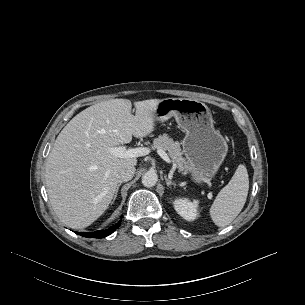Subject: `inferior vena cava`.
Segmentation results:
<instances>
[{
    "label": "inferior vena cava",
    "instance_id": "1",
    "mask_svg": "<svg viewBox=\"0 0 305 305\" xmlns=\"http://www.w3.org/2000/svg\"><path fill=\"white\" fill-rule=\"evenodd\" d=\"M135 170L134 166L122 167L116 175L117 181L122 183L131 180L135 174Z\"/></svg>",
    "mask_w": 305,
    "mask_h": 305
}]
</instances>
